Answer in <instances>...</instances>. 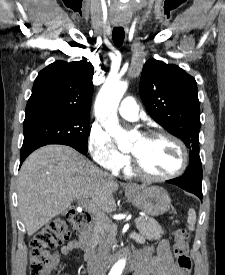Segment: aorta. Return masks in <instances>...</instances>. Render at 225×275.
Instances as JSON below:
<instances>
[{
  "label": "aorta",
  "instance_id": "obj_1",
  "mask_svg": "<svg viewBox=\"0 0 225 275\" xmlns=\"http://www.w3.org/2000/svg\"><path fill=\"white\" fill-rule=\"evenodd\" d=\"M126 81L107 79L101 87L96 101L95 114L104 129L115 138L118 148L130 147L132 136L119 124L117 108L121 98L126 92ZM126 265V260H119L111 269L109 275H121Z\"/></svg>",
  "mask_w": 225,
  "mask_h": 275
}]
</instances>
